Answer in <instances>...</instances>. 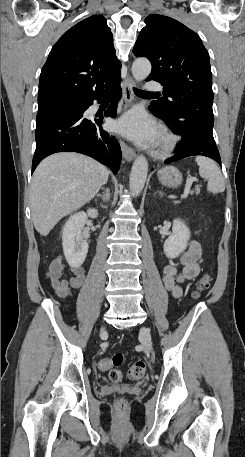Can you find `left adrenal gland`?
I'll return each mask as SVG.
<instances>
[{"instance_id":"a2214340","label":"left adrenal gland","mask_w":245,"mask_h":457,"mask_svg":"<svg viewBox=\"0 0 245 457\" xmlns=\"http://www.w3.org/2000/svg\"><path fill=\"white\" fill-rule=\"evenodd\" d=\"M157 192H159V194H161V196H163V192H161V190H157Z\"/></svg>"}]
</instances>
